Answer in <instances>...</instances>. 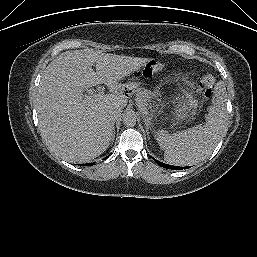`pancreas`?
<instances>
[{
  "instance_id": "cf45deb5",
  "label": "pancreas",
  "mask_w": 257,
  "mask_h": 257,
  "mask_svg": "<svg viewBox=\"0 0 257 257\" xmlns=\"http://www.w3.org/2000/svg\"><path fill=\"white\" fill-rule=\"evenodd\" d=\"M154 94L147 89H138L136 90V103L139 108L142 109H151L153 107L152 105V99Z\"/></svg>"
}]
</instances>
